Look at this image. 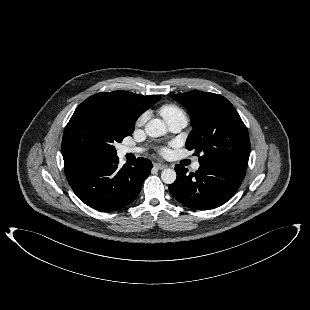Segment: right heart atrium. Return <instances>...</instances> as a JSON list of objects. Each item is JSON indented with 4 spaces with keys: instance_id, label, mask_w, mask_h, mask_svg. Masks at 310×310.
<instances>
[{
    "instance_id": "right-heart-atrium-1",
    "label": "right heart atrium",
    "mask_w": 310,
    "mask_h": 310,
    "mask_svg": "<svg viewBox=\"0 0 310 310\" xmlns=\"http://www.w3.org/2000/svg\"><path fill=\"white\" fill-rule=\"evenodd\" d=\"M145 119H146V116L145 115H142L139 117V119L137 120V125L140 126L142 125L144 122H145Z\"/></svg>"
}]
</instances>
